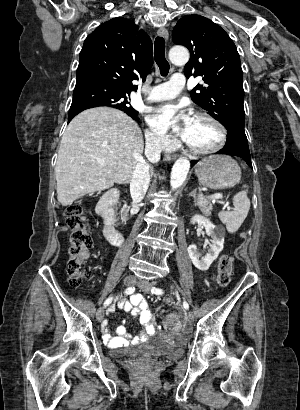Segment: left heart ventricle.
<instances>
[{
	"label": "left heart ventricle",
	"mask_w": 300,
	"mask_h": 410,
	"mask_svg": "<svg viewBox=\"0 0 300 410\" xmlns=\"http://www.w3.org/2000/svg\"><path fill=\"white\" fill-rule=\"evenodd\" d=\"M220 138L216 125L208 120L195 118L186 142L199 149H209L218 144Z\"/></svg>",
	"instance_id": "left-heart-ventricle-1"
}]
</instances>
